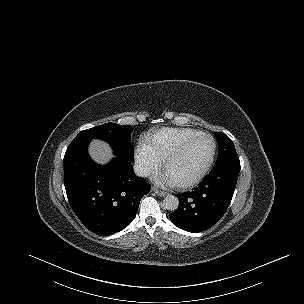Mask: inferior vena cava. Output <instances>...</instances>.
Masks as SVG:
<instances>
[{"label": "inferior vena cava", "instance_id": "obj_1", "mask_svg": "<svg viewBox=\"0 0 304 304\" xmlns=\"http://www.w3.org/2000/svg\"><path fill=\"white\" fill-rule=\"evenodd\" d=\"M134 172L139 177H148L151 174V170L143 163L136 162L134 164Z\"/></svg>", "mask_w": 304, "mask_h": 304}]
</instances>
